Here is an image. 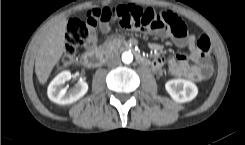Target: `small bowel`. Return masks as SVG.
<instances>
[{
	"label": "small bowel",
	"instance_id": "1",
	"mask_svg": "<svg viewBox=\"0 0 245 145\" xmlns=\"http://www.w3.org/2000/svg\"><path fill=\"white\" fill-rule=\"evenodd\" d=\"M173 18L180 21V19L175 16H173ZM101 29L104 32H109L112 29V24L109 22H103L101 24ZM153 34L160 38H168L171 35V28L170 26H163L162 28L155 30ZM187 43L191 47L190 59L192 60L193 64L186 70L184 68V59L180 56H176L171 62L172 73L177 76L185 74L190 77L201 78L206 70H209V60L202 56L200 52L193 47V38H188L187 40L177 42L178 46L181 47ZM157 63H161V60H159Z\"/></svg>",
	"mask_w": 245,
	"mask_h": 145
}]
</instances>
